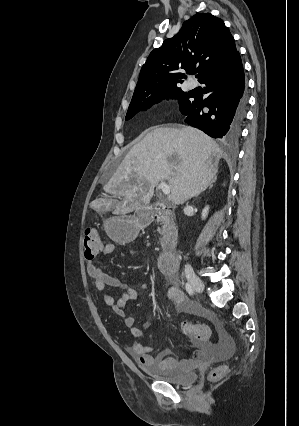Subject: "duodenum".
Listing matches in <instances>:
<instances>
[{"mask_svg":"<svg viewBox=\"0 0 299 426\" xmlns=\"http://www.w3.org/2000/svg\"><path fill=\"white\" fill-rule=\"evenodd\" d=\"M164 209L163 205L148 207L138 214V222L140 224H148L158 217ZM176 244L177 239L175 235L167 236L163 243V251L158 259V267L165 275H174L177 271Z\"/></svg>","mask_w":299,"mask_h":426,"instance_id":"duodenum-1","label":"duodenum"}]
</instances>
